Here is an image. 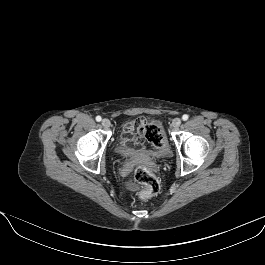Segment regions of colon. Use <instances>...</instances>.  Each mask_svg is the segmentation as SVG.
<instances>
[{
  "label": "colon",
  "mask_w": 265,
  "mask_h": 265,
  "mask_svg": "<svg viewBox=\"0 0 265 265\" xmlns=\"http://www.w3.org/2000/svg\"><path fill=\"white\" fill-rule=\"evenodd\" d=\"M140 130L145 139L156 149L164 150L166 147V141L163 136L160 126L154 122H145ZM135 179L136 181L145 188L143 193L144 197H149L158 193L160 184L157 178L148 170V168L139 164L135 168Z\"/></svg>",
  "instance_id": "1"
}]
</instances>
